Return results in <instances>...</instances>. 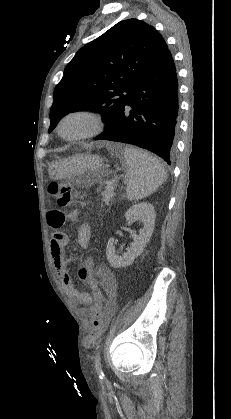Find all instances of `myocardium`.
I'll list each match as a JSON object with an SVG mask.
<instances>
[{
	"label": "myocardium",
	"instance_id": "1",
	"mask_svg": "<svg viewBox=\"0 0 231 419\" xmlns=\"http://www.w3.org/2000/svg\"><path fill=\"white\" fill-rule=\"evenodd\" d=\"M74 116H82V117L87 118L91 123V127L88 131L84 132L83 134L76 135V136H66L62 132V126L67 119ZM103 126L104 125H103L102 117L98 113L91 110H86V109H75V110L67 112L60 118L57 125V132L59 136L66 141H71V142L82 141V140H86V139H89L98 135L103 130Z\"/></svg>",
	"mask_w": 231,
	"mask_h": 419
}]
</instances>
